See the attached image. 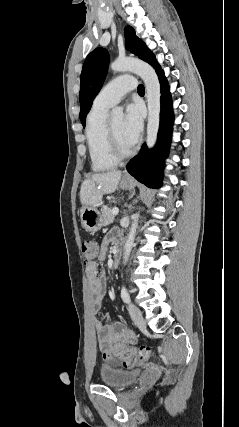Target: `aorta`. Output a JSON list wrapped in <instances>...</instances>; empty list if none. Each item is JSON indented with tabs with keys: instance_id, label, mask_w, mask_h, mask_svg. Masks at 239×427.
<instances>
[{
	"instance_id": "obj_1",
	"label": "aorta",
	"mask_w": 239,
	"mask_h": 427,
	"mask_svg": "<svg viewBox=\"0 0 239 427\" xmlns=\"http://www.w3.org/2000/svg\"><path fill=\"white\" fill-rule=\"evenodd\" d=\"M111 69L115 72L131 71L142 78L145 84L148 105L147 139L148 148H152L157 140V133L160 124V83L155 70L141 60L134 58L117 59L111 64ZM114 120L123 117V108L116 107L112 110ZM139 214L134 215V221L130 227L125 249L124 264L127 263L131 249L134 244L136 230L138 227Z\"/></svg>"
}]
</instances>
